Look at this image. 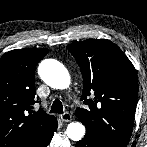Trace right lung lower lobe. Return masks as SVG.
Segmentation results:
<instances>
[{"mask_svg":"<svg viewBox=\"0 0 147 147\" xmlns=\"http://www.w3.org/2000/svg\"><path fill=\"white\" fill-rule=\"evenodd\" d=\"M57 129V120L55 121L52 129L49 131V133L41 140H39L38 142H36L35 144L29 146V147H47V145L49 144V142L52 139V136L54 134V132Z\"/></svg>","mask_w":147,"mask_h":147,"instance_id":"1","label":"right lung lower lobe"}]
</instances>
